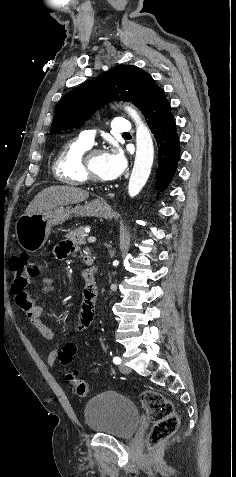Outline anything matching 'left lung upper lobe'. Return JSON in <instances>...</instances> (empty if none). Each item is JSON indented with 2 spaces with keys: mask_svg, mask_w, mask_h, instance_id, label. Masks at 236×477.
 I'll list each match as a JSON object with an SVG mask.
<instances>
[{
  "mask_svg": "<svg viewBox=\"0 0 236 477\" xmlns=\"http://www.w3.org/2000/svg\"><path fill=\"white\" fill-rule=\"evenodd\" d=\"M160 89L137 66L120 65L67 93L57 105L51 132L80 127L105 102L132 101L146 114Z\"/></svg>",
  "mask_w": 236,
  "mask_h": 477,
  "instance_id": "5c2ea615",
  "label": "left lung upper lobe"
}]
</instances>
